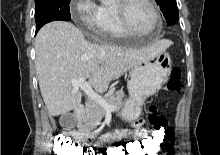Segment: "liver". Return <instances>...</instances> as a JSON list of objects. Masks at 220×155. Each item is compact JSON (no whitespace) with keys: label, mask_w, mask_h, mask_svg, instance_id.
Here are the masks:
<instances>
[{"label":"liver","mask_w":220,"mask_h":155,"mask_svg":"<svg viewBox=\"0 0 220 155\" xmlns=\"http://www.w3.org/2000/svg\"><path fill=\"white\" fill-rule=\"evenodd\" d=\"M171 42L161 41L143 49H128L88 42L72 23L53 21L44 25L35 40L36 71L42 98L50 116L66 114L81 104L72 79L89 78L98 92L112 80L165 51Z\"/></svg>","instance_id":"liver-1"}]
</instances>
